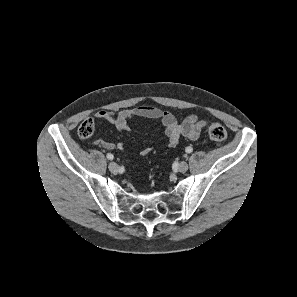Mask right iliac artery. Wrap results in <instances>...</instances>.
I'll list each match as a JSON object with an SVG mask.
<instances>
[{
  "instance_id": "1",
  "label": "right iliac artery",
  "mask_w": 297,
  "mask_h": 297,
  "mask_svg": "<svg viewBox=\"0 0 297 297\" xmlns=\"http://www.w3.org/2000/svg\"><path fill=\"white\" fill-rule=\"evenodd\" d=\"M107 158H108L109 160H112V159L114 158V156H113V154L108 153V154H107Z\"/></svg>"
}]
</instances>
